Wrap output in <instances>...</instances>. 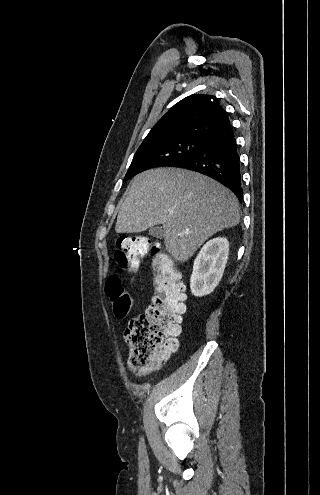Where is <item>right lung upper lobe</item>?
<instances>
[{"label": "right lung upper lobe", "instance_id": "right-lung-upper-lobe-1", "mask_svg": "<svg viewBox=\"0 0 320 495\" xmlns=\"http://www.w3.org/2000/svg\"><path fill=\"white\" fill-rule=\"evenodd\" d=\"M228 125L227 113L216 97L193 94L176 103L150 130L141 146L186 138L207 139Z\"/></svg>", "mask_w": 320, "mask_h": 495}]
</instances>
